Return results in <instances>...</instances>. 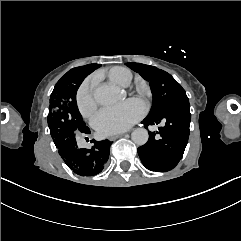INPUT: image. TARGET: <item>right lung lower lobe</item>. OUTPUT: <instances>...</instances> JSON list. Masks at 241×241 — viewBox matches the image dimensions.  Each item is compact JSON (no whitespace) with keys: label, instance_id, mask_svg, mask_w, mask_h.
I'll use <instances>...</instances> for the list:
<instances>
[{"label":"right lung lower lobe","instance_id":"98d812e1","mask_svg":"<svg viewBox=\"0 0 241 241\" xmlns=\"http://www.w3.org/2000/svg\"><path fill=\"white\" fill-rule=\"evenodd\" d=\"M93 72V71H92ZM90 69H86L85 77L89 75ZM90 133L89 131L85 132ZM90 149L79 148L76 141L59 145V155L66 165L80 176H94L100 173L109 159L111 142L109 140L95 141Z\"/></svg>","mask_w":241,"mask_h":241}]
</instances>
